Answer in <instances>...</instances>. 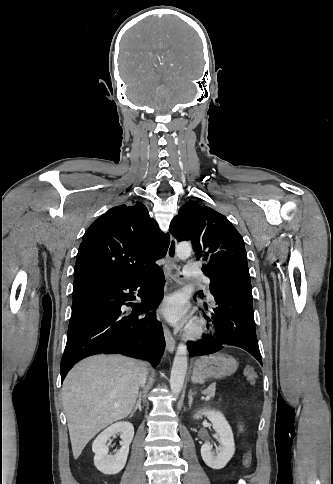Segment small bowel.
<instances>
[{"mask_svg": "<svg viewBox=\"0 0 333 484\" xmlns=\"http://www.w3.org/2000/svg\"><path fill=\"white\" fill-rule=\"evenodd\" d=\"M238 428L240 431H242V425H239Z\"/></svg>", "mask_w": 333, "mask_h": 484, "instance_id": "c3829d8e", "label": "small bowel"}]
</instances>
